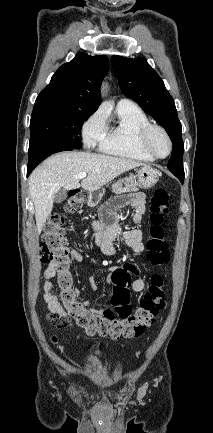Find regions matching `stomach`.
Instances as JSON below:
<instances>
[{
    "instance_id": "obj_1",
    "label": "stomach",
    "mask_w": 213,
    "mask_h": 433,
    "mask_svg": "<svg viewBox=\"0 0 213 433\" xmlns=\"http://www.w3.org/2000/svg\"><path fill=\"white\" fill-rule=\"evenodd\" d=\"M159 179L158 172L149 166H143L141 169L137 172V180L138 184L143 189H149L152 186H154ZM105 190H96L89 195V202L90 203H97L102 196L104 195Z\"/></svg>"
}]
</instances>
